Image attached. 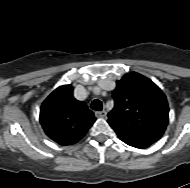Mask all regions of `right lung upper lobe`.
I'll list each match as a JSON object with an SVG mask.
<instances>
[{
	"label": "right lung upper lobe",
	"instance_id": "1",
	"mask_svg": "<svg viewBox=\"0 0 190 188\" xmlns=\"http://www.w3.org/2000/svg\"><path fill=\"white\" fill-rule=\"evenodd\" d=\"M96 118L86 103L73 97V87L63 85L42 103L40 123L46 135L60 145H72L84 137Z\"/></svg>",
	"mask_w": 190,
	"mask_h": 188
}]
</instances>
